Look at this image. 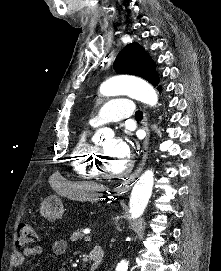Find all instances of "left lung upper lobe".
Returning <instances> with one entry per match:
<instances>
[{
	"instance_id": "obj_1",
	"label": "left lung upper lobe",
	"mask_w": 221,
	"mask_h": 271,
	"mask_svg": "<svg viewBox=\"0 0 221 271\" xmlns=\"http://www.w3.org/2000/svg\"><path fill=\"white\" fill-rule=\"evenodd\" d=\"M155 63L137 43L127 45L117 56L114 69L119 74H131L148 80L152 85L159 83Z\"/></svg>"
}]
</instances>
